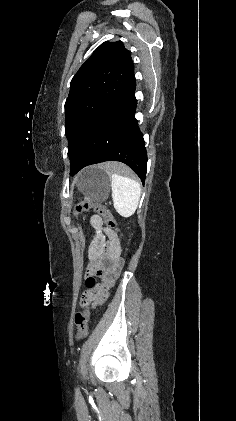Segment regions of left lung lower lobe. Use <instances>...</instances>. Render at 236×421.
I'll use <instances>...</instances> for the list:
<instances>
[{
  "mask_svg": "<svg viewBox=\"0 0 236 421\" xmlns=\"http://www.w3.org/2000/svg\"><path fill=\"white\" fill-rule=\"evenodd\" d=\"M135 88L133 72L122 93L110 104L91 130L78 160L71 165L70 175H75L85 166L114 160L127 164L144 184L147 152L135 118Z\"/></svg>",
  "mask_w": 236,
  "mask_h": 421,
  "instance_id": "obj_1",
  "label": "left lung lower lobe"
}]
</instances>
